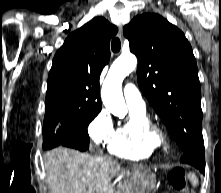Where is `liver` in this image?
Wrapping results in <instances>:
<instances>
[{
	"label": "liver",
	"instance_id": "obj_1",
	"mask_svg": "<svg viewBox=\"0 0 221 193\" xmlns=\"http://www.w3.org/2000/svg\"><path fill=\"white\" fill-rule=\"evenodd\" d=\"M50 193H113L110 178L120 167L101 152L90 155L57 147L44 155Z\"/></svg>",
	"mask_w": 221,
	"mask_h": 193
}]
</instances>
